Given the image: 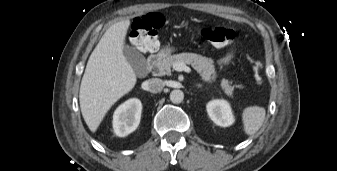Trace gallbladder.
I'll list each match as a JSON object with an SVG mask.
<instances>
[{"instance_id":"gallbladder-1","label":"gallbladder","mask_w":337,"mask_h":171,"mask_svg":"<svg viewBox=\"0 0 337 171\" xmlns=\"http://www.w3.org/2000/svg\"><path fill=\"white\" fill-rule=\"evenodd\" d=\"M124 55L130 65L133 67L137 75H142L146 70V61L142 54H140L134 47L125 46Z\"/></svg>"}]
</instances>
